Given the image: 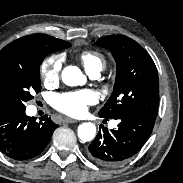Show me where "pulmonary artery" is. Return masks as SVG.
Instances as JSON below:
<instances>
[{
  "instance_id": "e3ab8cb5",
  "label": "pulmonary artery",
  "mask_w": 183,
  "mask_h": 183,
  "mask_svg": "<svg viewBox=\"0 0 183 183\" xmlns=\"http://www.w3.org/2000/svg\"><path fill=\"white\" fill-rule=\"evenodd\" d=\"M89 75L92 78H98L100 76V71L99 70H96V71L90 72Z\"/></svg>"
}]
</instances>
